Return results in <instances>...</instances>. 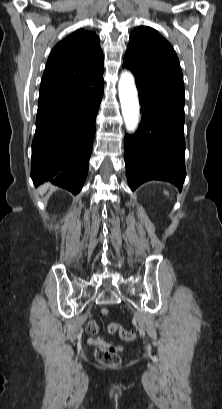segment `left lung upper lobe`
<instances>
[{"mask_svg":"<svg viewBox=\"0 0 222 409\" xmlns=\"http://www.w3.org/2000/svg\"><path fill=\"white\" fill-rule=\"evenodd\" d=\"M123 67L132 71L137 87L151 89L184 103V83L177 55L156 30L141 26L130 35Z\"/></svg>","mask_w":222,"mask_h":409,"instance_id":"obj_1","label":"left lung upper lobe"}]
</instances>
